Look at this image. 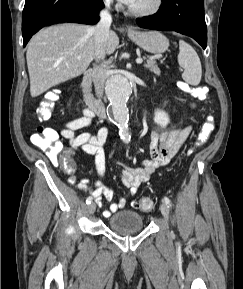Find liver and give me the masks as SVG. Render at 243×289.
Segmentation results:
<instances>
[{
    "instance_id": "obj_1",
    "label": "liver",
    "mask_w": 243,
    "mask_h": 289,
    "mask_svg": "<svg viewBox=\"0 0 243 289\" xmlns=\"http://www.w3.org/2000/svg\"><path fill=\"white\" fill-rule=\"evenodd\" d=\"M118 45V36L110 31L105 53L112 54ZM94 58L93 26L64 23L40 30L28 43L26 53L31 96L80 76Z\"/></svg>"
}]
</instances>
